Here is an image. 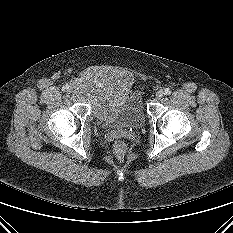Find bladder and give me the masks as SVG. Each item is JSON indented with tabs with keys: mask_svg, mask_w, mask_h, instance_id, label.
Here are the masks:
<instances>
[{
	"mask_svg": "<svg viewBox=\"0 0 233 233\" xmlns=\"http://www.w3.org/2000/svg\"><path fill=\"white\" fill-rule=\"evenodd\" d=\"M73 89L78 96L88 99L90 116L103 127L132 129L145 121L141 92L127 73L91 69L75 80Z\"/></svg>",
	"mask_w": 233,
	"mask_h": 233,
	"instance_id": "bladder-1",
	"label": "bladder"
}]
</instances>
